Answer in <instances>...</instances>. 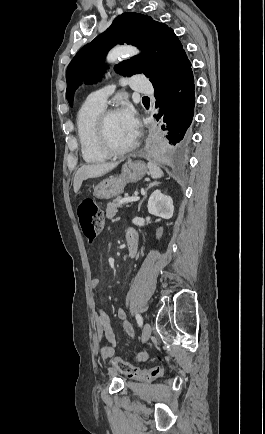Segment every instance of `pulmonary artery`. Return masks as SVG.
I'll list each match as a JSON object with an SVG mask.
<instances>
[{
	"mask_svg": "<svg viewBox=\"0 0 265 434\" xmlns=\"http://www.w3.org/2000/svg\"><path fill=\"white\" fill-rule=\"evenodd\" d=\"M131 83L132 84H147L149 81V78L147 75H132L131 76ZM108 87L106 91H104L103 88H98L97 91H90L89 92V99L92 103H105V97L107 95L113 94V89L110 88L111 84H108ZM112 87H116V84H112ZM106 92V94H105Z\"/></svg>",
	"mask_w": 265,
	"mask_h": 434,
	"instance_id": "e3ab8cb5",
	"label": "pulmonary artery"
}]
</instances>
